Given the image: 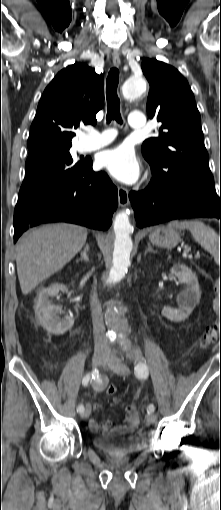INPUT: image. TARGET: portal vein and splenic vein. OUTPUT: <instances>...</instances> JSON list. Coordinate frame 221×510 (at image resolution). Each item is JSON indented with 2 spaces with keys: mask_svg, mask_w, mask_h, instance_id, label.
Listing matches in <instances>:
<instances>
[{
  "mask_svg": "<svg viewBox=\"0 0 221 510\" xmlns=\"http://www.w3.org/2000/svg\"><path fill=\"white\" fill-rule=\"evenodd\" d=\"M188 251H189V248H188V247H185V251H184V253H187ZM195 257H199V254H198V255H196Z\"/></svg>",
  "mask_w": 221,
  "mask_h": 510,
  "instance_id": "1",
  "label": "portal vein and splenic vein"
}]
</instances>
